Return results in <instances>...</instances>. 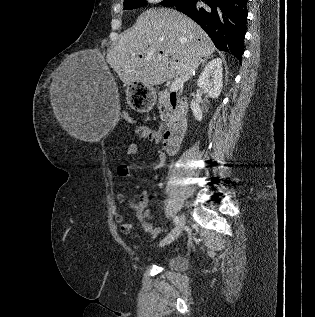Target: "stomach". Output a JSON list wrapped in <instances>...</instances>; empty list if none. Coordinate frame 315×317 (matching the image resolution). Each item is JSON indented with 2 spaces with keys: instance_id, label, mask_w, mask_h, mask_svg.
Segmentation results:
<instances>
[{
  "instance_id": "obj_1",
  "label": "stomach",
  "mask_w": 315,
  "mask_h": 317,
  "mask_svg": "<svg viewBox=\"0 0 315 317\" xmlns=\"http://www.w3.org/2000/svg\"><path fill=\"white\" fill-rule=\"evenodd\" d=\"M127 97L130 98V108H138L139 114H152L157 104L150 84H127Z\"/></svg>"
}]
</instances>
